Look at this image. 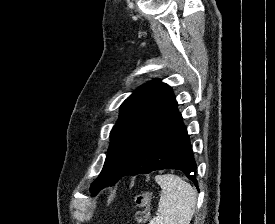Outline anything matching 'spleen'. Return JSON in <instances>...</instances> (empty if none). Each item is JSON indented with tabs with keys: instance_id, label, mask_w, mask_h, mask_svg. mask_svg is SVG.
I'll return each mask as SVG.
<instances>
[{
	"instance_id": "spleen-1",
	"label": "spleen",
	"mask_w": 275,
	"mask_h": 224,
	"mask_svg": "<svg viewBox=\"0 0 275 224\" xmlns=\"http://www.w3.org/2000/svg\"><path fill=\"white\" fill-rule=\"evenodd\" d=\"M162 191L157 216L149 224H190L196 209L195 189L177 175H156Z\"/></svg>"
}]
</instances>
